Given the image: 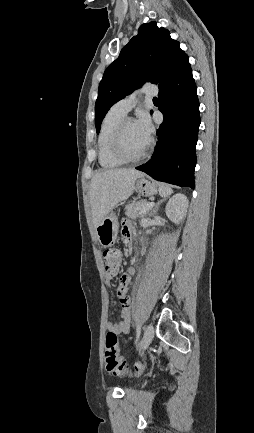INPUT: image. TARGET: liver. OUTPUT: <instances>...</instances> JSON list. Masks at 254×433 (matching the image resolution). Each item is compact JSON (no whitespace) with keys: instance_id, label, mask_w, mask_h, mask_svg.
I'll return each mask as SVG.
<instances>
[{"instance_id":"obj_1","label":"liver","mask_w":254,"mask_h":433,"mask_svg":"<svg viewBox=\"0 0 254 433\" xmlns=\"http://www.w3.org/2000/svg\"><path fill=\"white\" fill-rule=\"evenodd\" d=\"M143 176L142 172L134 169L98 170L94 173L89 200L95 228L119 202L132 195L136 180Z\"/></svg>"}]
</instances>
